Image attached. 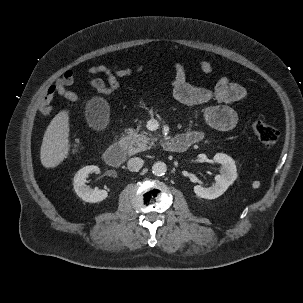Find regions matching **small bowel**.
Wrapping results in <instances>:
<instances>
[{"label":"small bowel","mask_w":303,"mask_h":303,"mask_svg":"<svg viewBox=\"0 0 303 303\" xmlns=\"http://www.w3.org/2000/svg\"><path fill=\"white\" fill-rule=\"evenodd\" d=\"M199 67L205 74H211L214 71L213 65L207 60H201ZM145 72H153L161 76L171 86L173 98L181 104L203 106L212 101L217 102L215 105L204 106L200 110V116L208 127L219 131H231L237 126L238 115L229 104L244 99L247 94L246 89L227 77L220 78L212 87L193 85L188 81L187 69L181 62L173 64L172 73H164L145 63H136L125 67L94 65L88 68L90 75L88 82L99 95H104L106 88H109L112 92L119 89L120 78ZM97 74H104L106 79L95 77ZM74 83V73L71 70L66 71L42 95L38 111L43 116L50 117L52 112L51 102L55 96H60L73 103H79L81 101L80 97L71 90ZM184 135L189 136L194 143H197L203 139L204 132L200 129H194L184 133Z\"/></svg>","instance_id":"small-bowel-1"}]
</instances>
